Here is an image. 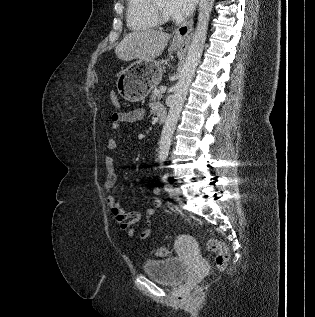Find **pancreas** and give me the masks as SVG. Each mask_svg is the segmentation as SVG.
Listing matches in <instances>:
<instances>
[{
	"label": "pancreas",
	"instance_id": "obj_1",
	"mask_svg": "<svg viewBox=\"0 0 315 317\" xmlns=\"http://www.w3.org/2000/svg\"><path fill=\"white\" fill-rule=\"evenodd\" d=\"M161 98H162V93L160 92L159 89L154 87L153 90H152V94L150 96V100L151 101H156L157 99H161Z\"/></svg>",
	"mask_w": 315,
	"mask_h": 317
}]
</instances>
